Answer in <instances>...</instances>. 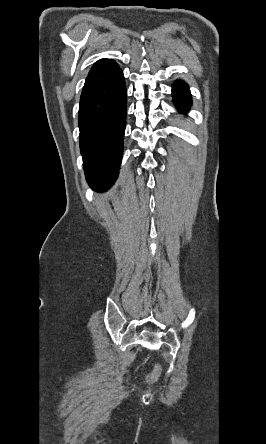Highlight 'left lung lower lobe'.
<instances>
[{
	"mask_svg": "<svg viewBox=\"0 0 266 444\" xmlns=\"http://www.w3.org/2000/svg\"><path fill=\"white\" fill-rule=\"evenodd\" d=\"M174 104L178 111L187 112L191 105V95L188 86L182 81H178L173 85L172 89Z\"/></svg>",
	"mask_w": 266,
	"mask_h": 444,
	"instance_id": "left-lung-lower-lobe-1",
	"label": "left lung lower lobe"
}]
</instances>
